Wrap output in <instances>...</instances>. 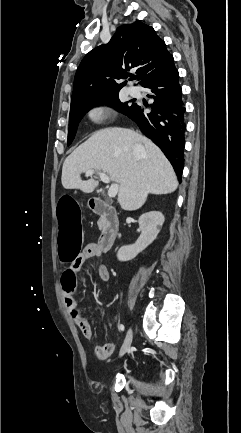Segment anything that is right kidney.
<instances>
[{"mask_svg":"<svg viewBox=\"0 0 241 433\" xmlns=\"http://www.w3.org/2000/svg\"><path fill=\"white\" fill-rule=\"evenodd\" d=\"M164 221V215L160 211H150L142 214L138 220L141 230L138 240L133 245L120 247L117 252L118 260H132L147 248L156 239Z\"/></svg>","mask_w":241,"mask_h":433,"instance_id":"1","label":"right kidney"}]
</instances>
